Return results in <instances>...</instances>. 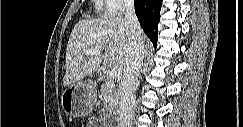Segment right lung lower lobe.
Wrapping results in <instances>:
<instances>
[{"label":"right lung lower lobe","instance_id":"right-lung-lower-lobe-1","mask_svg":"<svg viewBox=\"0 0 243 127\" xmlns=\"http://www.w3.org/2000/svg\"><path fill=\"white\" fill-rule=\"evenodd\" d=\"M161 5L162 0H135V12L140 25L154 47L157 45Z\"/></svg>","mask_w":243,"mask_h":127}]
</instances>
